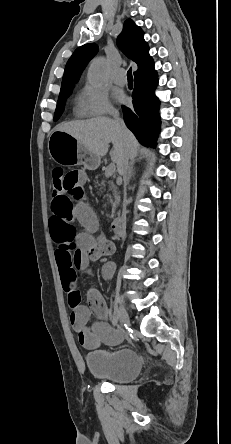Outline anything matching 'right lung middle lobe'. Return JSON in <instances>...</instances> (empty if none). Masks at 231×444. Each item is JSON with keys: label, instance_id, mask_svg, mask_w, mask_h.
<instances>
[{"label": "right lung middle lobe", "instance_id": "obj_1", "mask_svg": "<svg viewBox=\"0 0 231 444\" xmlns=\"http://www.w3.org/2000/svg\"><path fill=\"white\" fill-rule=\"evenodd\" d=\"M72 89L65 91V92H61L59 94V98H58V103H57V107L55 110V115H54V121H56L62 114L63 110H64V103L66 101V99L69 97V95L71 94Z\"/></svg>", "mask_w": 231, "mask_h": 444}]
</instances>
